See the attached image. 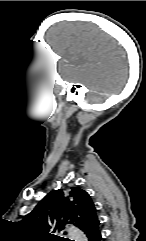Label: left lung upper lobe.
<instances>
[{
    "label": "left lung upper lobe",
    "mask_w": 146,
    "mask_h": 241,
    "mask_svg": "<svg viewBox=\"0 0 146 241\" xmlns=\"http://www.w3.org/2000/svg\"><path fill=\"white\" fill-rule=\"evenodd\" d=\"M98 219L89 194L78 188L58 189L48 193L21 221L38 241H64L55 233L64 229L66 222L83 230Z\"/></svg>",
    "instance_id": "5c2ea615"
}]
</instances>
